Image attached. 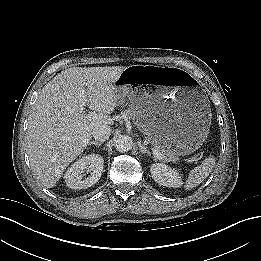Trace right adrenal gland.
I'll return each instance as SVG.
<instances>
[{
    "label": "right adrenal gland",
    "instance_id": "obj_1",
    "mask_svg": "<svg viewBox=\"0 0 261 261\" xmlns=\"http://www.w3.org/2000/svg\"><path fill=\"white\" fill-rule=\"evenodd\" d=\"M102 144H103V142H98V141H91V142L89 143L90 146H91V145L101 146Z\"/></svg>",
    "mask_w": 261,
    "mask_h": 261
}]
</instances>
